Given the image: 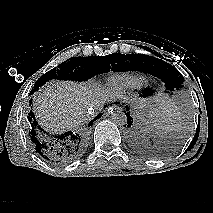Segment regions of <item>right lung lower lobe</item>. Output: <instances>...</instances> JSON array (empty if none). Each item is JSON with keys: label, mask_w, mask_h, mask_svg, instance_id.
Returning <instances> with one entry per match:
<instances>
[{"label": "right lung lower lobe", "mask_w": 213, "mask_h": 213, "mask_svg": "<svg viewBox=\"0 0 213 213\" xmlns=\"http://www.w3.org/2000/svg\"><path fill=\"white\" fill-rule=\"evenodd\" d=\"M39 87H33V94ZM30 106L32 100L29 101ZM106 107V105L104 106ZM103 113L97 115L89 124L101 117ZM27 127L30 141L36 152L44 159L57 163L65 164L79 157L86 145L87 136L85 133H73L71 131L62 134H52L45 131L38 124L33 111L27 115Z\"/></svg>", "instance_id": "obj_1"}]
</instances>
